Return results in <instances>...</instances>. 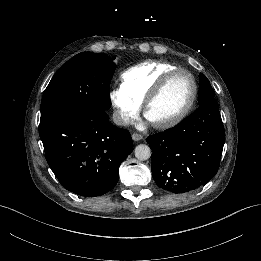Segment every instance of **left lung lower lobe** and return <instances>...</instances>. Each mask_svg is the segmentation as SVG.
I'll return each mask as SVG.
<instances>
[{
  "instance_id": "0a47b994",
  "label": "left lung lower lobe",
  "mask_w": 261,
  "mask_h": 261,
  "mask_svg": "<svg viewBox=\"0 0 261 261\" xmlns=\"http://www.w3.org/2000/svg\"><path fill=\"white\" fill-rule=\"evenodd\" d=\"M146 141L154 150L151 169L159 188L176 194L201 188L216 175L225 142L217 102Z\"/></svg>"
}]
</instances>
